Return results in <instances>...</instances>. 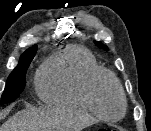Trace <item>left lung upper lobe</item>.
<instances>
[{
	"instance_id": "left-lung-upper-lobe-1",
	"label": "left lung upper lobe",
	"mask_w": 151,
	"mask_h": 131,
	"mask_svg": "<svg viewBox=\"0 0 151 131\" xmlns=\"http://www.w3.org/2000/svg\"><path fill=\"white\" fill-rule=\"evenodd\" d=\"M95 44L102 49L108 50L107 46L103 45L101 42H95Z\"/></svg>"
}]
</instances>
